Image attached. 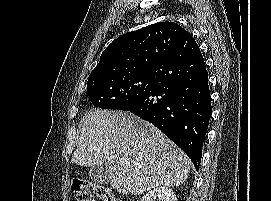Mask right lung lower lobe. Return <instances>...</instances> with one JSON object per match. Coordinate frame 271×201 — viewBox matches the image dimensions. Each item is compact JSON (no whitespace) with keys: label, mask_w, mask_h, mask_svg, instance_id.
I'll return each instance as SVG.
<instances>
[{"label":"right lung lower lobe","mask_w":271,"mask_h":201,"mask_svg":"<svg viewBox=\"0 0 271 201\" xmlns=\"http://www.w3.org/2000/svg\"><path fill=\"white\" fill-rule=\"evenodd\" d=\"M119 110L154 124L198 170L212 107L205 62L190 34L156 66L151 86Z\"/></svg>","instance_id":"obj_1"}]
</instances>
